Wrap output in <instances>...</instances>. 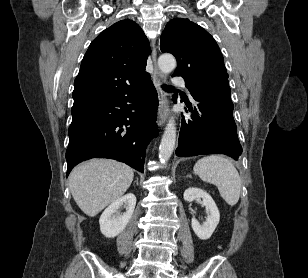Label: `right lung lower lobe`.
I'll return each instance as SVG.
<instances>
[{"instance_id": "obj_1", "label": "right lung lower lobe", "mask_w": 308, "mask_h": 278, "mask_svg": "<svg viewBox=\"0 0 308 278\" xmlns=\"http://www.w3.org/2000/svg\"><path fill=\"white\" fill-rule=\"evenodd\" d=\"M157 107V92L148 78L126 96L72 112L67 176L76 164L93 157L115 159L143 172L146 146L158 135Z\"/></svg>"}]
</instances>
